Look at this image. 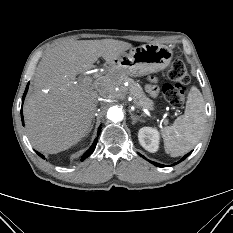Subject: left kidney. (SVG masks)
<instances>
[{"mask_svg": "<svg viewBox=\"0 0 233 233\" xmlns=\"http://www.w3.org/2000/svg\"><path fill=\"white\" fill-rule=\"evenodd\" d=\"M159 138L158 131L151 127H143L138 133L141 146L152 153L156 152L159 147Z\"/></svg>", "mask_w": 233, "mask_h": 233, "instance_id": "5707ae66", "label": "left kidney"}]
</instances>
